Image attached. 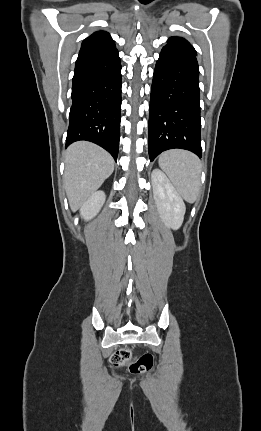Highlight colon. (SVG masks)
<instances>
[{"instance_id": "colon-1", "label": "colon", "mask_w": 261, "mask_h": 431, "mask_svg": "<svg viewBox=\"0 0 261 431\" xmlns=\"http://www.w3.org/2000/svg\"><path fill=\"white\" fill-rule=\"evenodd\" d=\"M110 361L114 367L122 368L128 366L130 372L140 374L151 369L153 365V356L149 353H145L134 359L129 349L122 348L112 354Z\"/></svg>"}]
</instances>
